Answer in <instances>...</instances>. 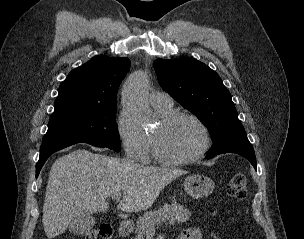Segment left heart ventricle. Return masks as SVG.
Returning a JSON list of instances; mask_svg holds the SVG:
<instances>
[{
    "mask_svg": "<svg viewBox=\"0 0 304 239\" xmlns=\"http://www.w3.org/2000/svg\"><path fill=\"white\" fill-rule=\"evenodd\" d=\"M159 132V148L171 158H185L195 154L203 143L198 125L188 118H181L165 130Z\"/></svg>",
    "mask_w": 304,
    "mask_h": 239,
    "instance_id": "1",
    "label": "left heart ventricle"
}]
</instances>
